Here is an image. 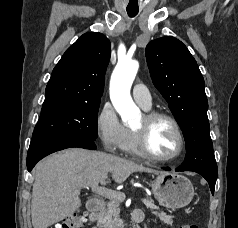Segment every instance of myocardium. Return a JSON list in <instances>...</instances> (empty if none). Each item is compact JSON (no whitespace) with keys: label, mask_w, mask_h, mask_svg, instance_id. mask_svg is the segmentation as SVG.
Segmentation results:
<instances>
[{"label":"myocardium","mask_w":238,"mask_h":228,"mask_svg":"<svg viewBox=\"0 0 238 228\" xmlns=\"http://www.w3.org/2000/svg\"><path fill=\"white\" fill-rule=\"evenodd\" d=\"M143 117L145 120L144 127H142L141 129L133 130L136 135L137 144L142 155L150 160H153L156 162H162V163H167V162H172L177 160L182 155L184 151V147H185L184 135L177 120L171 115L164 112H159V111L146 112L143 115ZM158 120L168 121L173 126L178 138V149L176 153L170 157L156 156L155 154L152 153V151L150 150L148 146V139H147L148 129L154 122Z\"/></svg>","instance_id":"obj_1"}]
</instances>
